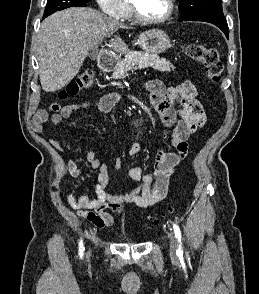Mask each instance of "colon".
<instances>
[{"instance_id":"colon-1","label":"colon","mask_w":259,"mask_h":294,"mask_svg":"<svg viewBox=\"0 0 259 294\" xmlns=\"http://www.w3.org/2000/svg\"><path fill=\"white\" fill-rule=\"evenodd\" d=\"M184 51L190 58L200 62L206 72L209 80L217 83L223 71V64L220 59L219 52L213 47H207L202 43H189L184 46ZM94 74L91 70H85L73 80L66 90L61 93V97L75 96L80 91L87 89L93 85ZM159 217L152 218V222L157 224Z\"/></svg>"}]
</instances>
